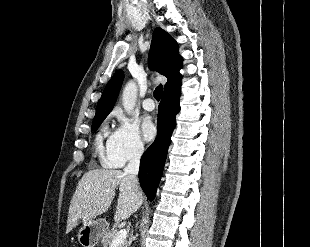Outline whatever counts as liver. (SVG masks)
<instances>
[{
  "label": "liver",
  "mask_w": 310,
  "mask_h": 247,
  "mask_svg": "<svg viewBox=\"0 0 310 247\" xmlns=\"http://www.w3.org/2000/svg\"><path fill=\"white\" fill-rule=\"evenodd\" d=\"M118 186L116 222L126 220L141 206L143 196L139 185H135L132 178L120 170L93 169L86 172L70 202L66 232H70L78 220L85 222L106 212Z\"/></svg>",
  "instance_id": "liver-1"
}]
</instances>
